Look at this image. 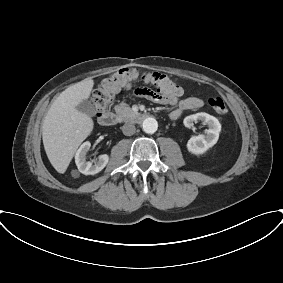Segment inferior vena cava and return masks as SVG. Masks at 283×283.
<instances>
[{
	"label": "inferior vena cava",
	"mask_w": 283,
	"mask_h": 283,
	"mask_svg": "<svg viewBox=\"0 0 283 283\" xmlns=\"http://www.w3.org/2000/svg\"><path fill=\"white\" fill-rule=\"evenodd\" d=\"M136 128L133 124L131 123H126L122 126V132L126 136H131L135 133Z\"/></svg>",
	"instance_id": "1"
}]
</instances>
